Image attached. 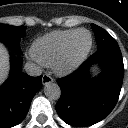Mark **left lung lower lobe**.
<instances>
[{
	"label": "left lung lower lobe",
	"instance_id": "obj_1",
	"mask_svg": "<svg viewBox=\"0 0 128 128\" xmlns=\"http://www.w3.org/2000/svg\"><path fill=\"white\" fill-rule=\"evenodd\" d=\"M94 63H100L103 71L93 79L88 70ZM123 75L118 44L98 49L73 74L58 80L61 97L56 111L72 126L86 127L103 120L118 101Z\"/></svg>",
	"mask_w": 128,
	"mask_h": 128
}]
</instances>
